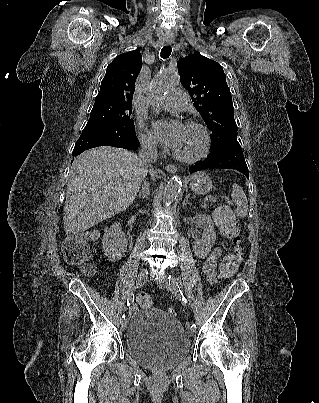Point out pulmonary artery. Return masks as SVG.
<instances>
[{"label": "pulmonary artery", "mask_w": 319, "mask_h": 403, "mask_svg": "<svg viewBox=\"0 0 319 403\" xmlns=\"http://www.w3.org/2000/svg\"><path fill=\"white\" fill-rule=\"evenodd\" d=\"M162 103L175 110H183L189 106L187 95L179 88L170 91L163 99Z\"/></svg>", "instance_id": "1"}]
</instances>
